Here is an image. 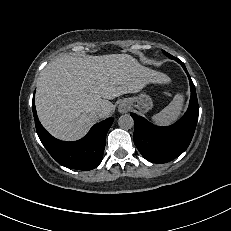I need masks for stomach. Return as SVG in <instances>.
<instances>
[{
    "mask_svg": "<svg viewBox=\"0 0 231 231\" xmlns=\"http://www.w3.org/2000/svg\"><path fill=\"white\" fill-rule=\"evenodd\" d=\"M131 108H135L141 113H146L153 107V102L151 97L147 94L145 90H140L136 96L124 99Z\"/></svg>",
    "mask_w": 231,
    "mask_h": 231,
    "instance_id": "stomach-1",
    "label": "stomach"
}]
</instances>
